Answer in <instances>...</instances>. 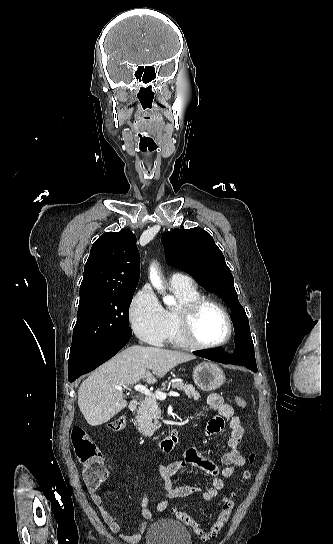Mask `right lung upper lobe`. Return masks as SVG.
Masks as SVG:
<instances>
[{
  "mask_svg": "<svg viewBox=\"0 0 333 544\" xmlns=\"http://www.w3.org/2000/svg\"><path fill=\"white\" fill-rule=\"evenodd\" d=\"M140 255L129 230L107 232L92 245L80 286V303L108 292H129L139 281Z\"/></svg>",
  "mask_w": 333,
  "mask_h": 544,
  "instance_id": "obj_1",
  "label": "right lung upper lobe"
}]
</instances>
